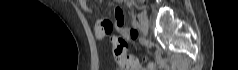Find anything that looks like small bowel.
I'll return each instance as SVG.
<instances>
[{"mask_svg": "<svg viewBox=\"0 0 238 70\" xmlns=\"http://www.w3.org/2000/svg\"><path fill=\"white\" fill-rule=\"evenodd\" d=\"M80 7L82 10L88 14L91 17H96L98 15V12L94 10L91 6H89L88 2L86 0H79ZM114 22L99 19L95 24V35L98 38H103L106 35L110 34L112 32L113 27H116L119 30V33H130L131 31L125 27H123L124 17H123V11L121 8L117 7L114 10ZM119 25H122L121 27ZM127 50V48H126Z\"/></svg>", "mask_w": 238, "mask_h": 70, "instance_id": "c3829d8e", "label": "small bowel"}]
</instances>
